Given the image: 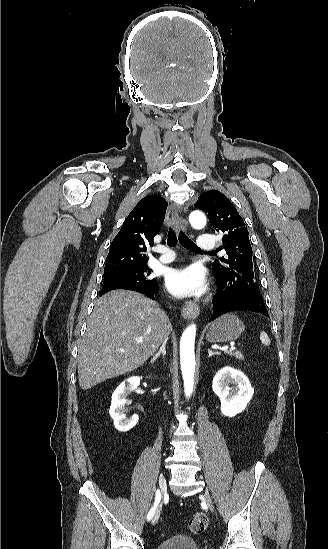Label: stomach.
Here are the masks:
<instances>
[{
  "mask_svg": "<svg viewBox=\"0 0 328 549\" xmlns=\"http://www.w3.org/2000/svg\"><path fill=\"white\" fill-rule=\"evenodd\" d=\"M244 323L233 315V313H225L213 323H210L206 333V339L209 343H228V341H236L243 333Z\"/></svg>",
  "mask_w": 328,
  "mask_h": 549,
  "instance_id": "obj_1",
  "label": "stomach"
}]
</instances>
